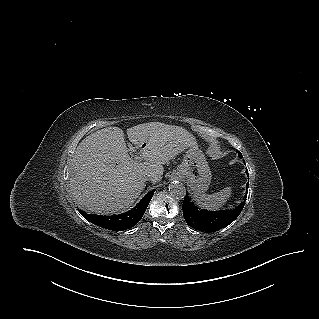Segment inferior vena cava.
I'll use <instances>...</instances> for the list:
<instances>
[{
	"mask_svg": "<svg viewBox=\"0 0 319 319\" xmlns=\"http://www.w3.org/2000/svg\"><path fill=\"white\" fill-rule=\"evenodd\" d=\"M144 181H147V180H152V175L151 174H147L143 177Z\"/></svg>",
	"mask_w": 319,
	"mask_h": 319,
	"instance_id": "602c4592",
	"label": "inferior vena cava"
}]
</instances>
